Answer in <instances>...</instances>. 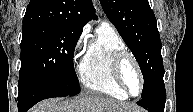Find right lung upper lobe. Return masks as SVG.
Returning a JSON list of instances; mask_svg holds the SVG:
<instances>
[{
    "label": "right lung upper lobe",
    "mask_w": 193,
    "mask_h": 112,
    "mask_svg": "<svg viewBox=\"0 0 193 112\" xmlns=\"http://www.w3.org/2000/svg\"><path fill=\"white\" fill-rule=\"evenodd\" d=\"M97 19L91 0H30L22 30L42 26L82 29Z\"/></svg>",
    "instance_id": "1"
}]
</instances>
